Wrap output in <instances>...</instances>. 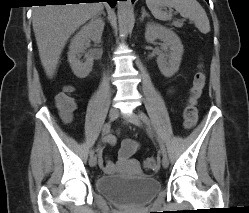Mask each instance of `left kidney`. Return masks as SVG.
Here are the masks:
<instances>
[{
	"label": "left kidney",
	"instance_id": "1",
	"mask_svg": "<svg viewBox=\"0 0 249 213\" xmlns=\"http://www.w3.org/2000/svg\"><path fill=\"white\" fill-rule=\"evenodd\" d=\"M145 39L153 42L156 39L163 41L162 49L165 52L157 57L160 72L167 78L172 77L178 70L183 55V45L177 34L162 25L148 23L146 25Z\"/></svg>",
	"mask_w": 249,
	"mask_h": 213
}]
</instances>
